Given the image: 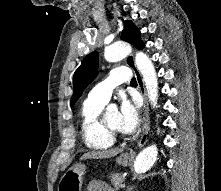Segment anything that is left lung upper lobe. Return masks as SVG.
I'll return each instance as SVG.
<instances>
[{
	"instance_id": "5c2ea615",
	"label": "left lung upper lobe",
	"mask_w": 221,
	"mask_h": 191,
	"mask_svg": "<svg viewBox=\"0 0 221 191\" xmlns=\"http://www.w3.org/2000/svg\"><path fill=\"white\" fill-rule=\"evenodd\" d=\"M124 29L121 34V39L131 43L139 49L144 48V43L141 40L139 29L132 23L131 20L124 22ZM99 64L98 52L88 54L81 62L73 76L74 94L71 98V107L80 98L84 89L98 75L97 69Z\"/></svg>"
}]
</instances>
